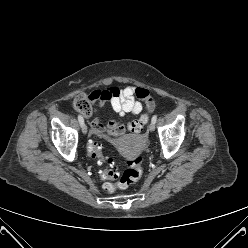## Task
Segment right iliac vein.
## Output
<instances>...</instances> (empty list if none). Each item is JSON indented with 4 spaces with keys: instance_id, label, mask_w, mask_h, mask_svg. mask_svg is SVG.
I'll return each instance as SVG.
<instances>
[{
    "instance_id": "right-iliac-vein-1",
    "label": "right iliac vein",
    "mask_w": 248,
    "mask_h": 248,
    "mask_svg": "<svg viewBox=\"0 0 248 248\" xmlns=\"http://www.w3.org/2000/svg\"><path fill=\"white\" fill-rule=\"evenodd\" d=\"M82 132H83L84 134L87 133V126H86L85 124L82 125Z\"/></svg>"
}]
</instances>
